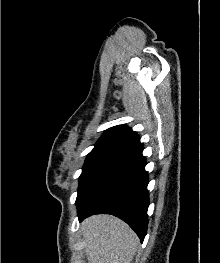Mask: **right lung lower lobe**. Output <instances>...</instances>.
Here are the masks:
<instances>
[{
    "label": "right lung lower lobe",
    "instance_id": "right-lung-lower-lobe-1",
    "mask_svg": "<svg viewBox=\"0 0 220 263\" xmlns=\"http://www.w3.org/2000/svg\"><path fill=\"white\" fill-rule=\"evenodd\" d=\"M141 143L117 153L93 178L76 201L79 221L99 213L112 214L144 240L148 225V175Z\"/></svg>",
    "mask_w": 220,
    "mask_h": 263
}]
</instances>
